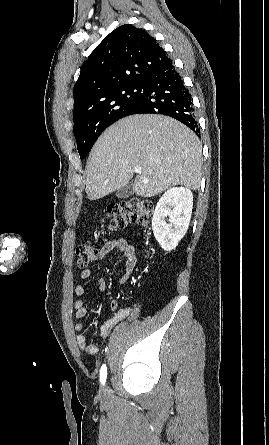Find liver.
I'll list each match as a JSON object with an SVG mask.
<instances>
[{"instance_id":"liver-1","label":"liver","mask_w":269,"mask_h":445,"mask_svg":"<svg viewBox=\"0 0 269 445\" xmlns=\"http://www.w3.org/2000/svg\"><path fill=\"white\" fill-rule=\"evenodd\" d=\"M202 147L179 121L163 115H133L107 128L95 143L87 164L86 193L98 200L126 186L134 168L137 196H156L171 186L198 190Z\"/></svg>"}]
</instances>
